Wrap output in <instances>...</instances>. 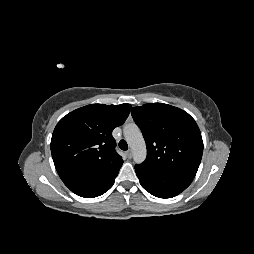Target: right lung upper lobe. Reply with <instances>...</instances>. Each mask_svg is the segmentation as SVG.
I'll return each instance as SVG.
<instances>
[{
  "instance_id": "obj_1",
  "label": "right lung upper lobe",
  "mask_w": 254,
  "mask_h": 254,
  "mask_svg": "<svg viewBox=\"0 0 254 254\" xmlns=\"http://www.w3.org/2000/svg\"><path fill=\"white\" fill-rule=\"evenodd\" d=\"M130 109V104H91L70 112L58 122L50 146L63 181L122 165L112 131L125 122Z\"/></svg>"
}]
</instances>
